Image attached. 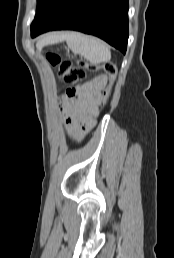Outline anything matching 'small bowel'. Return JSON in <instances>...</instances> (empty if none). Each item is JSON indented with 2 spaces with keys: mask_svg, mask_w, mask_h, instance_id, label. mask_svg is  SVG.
I'll use <instances>...</instances> for the list:
<instances>
[{
  "mask_svg": "<svg viewBox=\"0 0 174 258\" xmlns=\"http://www.w3.org/2000/svg\"><path fill=\"white\" fill-rule=\"evenodd\" d=\"M108 85L106 75H97L78 90L76 98L65 93L60 104L64 113L67 129L74 137H81V129H90L95 124L99 105H102V88Z\"/></svg>",
  "mask_w": 174,
  "mask_h": 258,
  "instance_id": "c3829d8e",
  "label": "small bowel"
}]
</instances>
